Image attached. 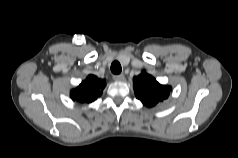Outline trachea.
<instances>
[{
  "mask_svg": "<svg viewBox=\"0 0 238 158\" xmlns=\"http://www.w3.org/2000/svg\"><path fill=\"white\" fill-rule=\"evenodd\" d=\"M121 65L118 61H114L112 64H111V71L113 74H120L121 73Z\"/></svg>",
  "mask_w": 238,
  "mask_h": 158,
  "instance_id": "trachea-1",
  "label": "trachea"
}]
</instances>
